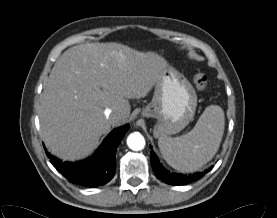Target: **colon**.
Instances as JSON below:
<instances>
[{
    "instance_id": "5ec220e1",
    "label": "colon",
    "mask_w": 277,
    "mask_h": 218,
    "mask_svg": "<svg viewBox=\"0 0 277 218\" xmlns=\"http://www.w3.org/2000/svg\"><path fill=\"white\" fill-rule=\"evenodd\" d=\"M193 82H194L195 88L198 91L202 92V91L206 90L208 82H207V77L204 73L198 72L194 76Z\"/></svg>"
}]
</instances>
